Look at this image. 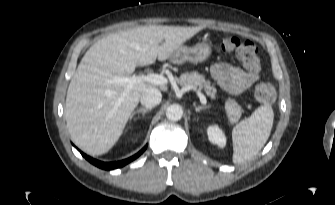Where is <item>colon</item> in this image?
Returning <instances> with one entry per match:
<instances>
[{"instance_id": "colon-1", "label": "colon", "mask_w": 335, "mask_h": 205, "mask_svg": "<svg viewBox=\"0 0 335 205\" xmlns=\"http://www.w3.org/2000/svg\"><path fill=\"white\" fill-rule=\"evenodd\" d=\"M220 49L225 53H235L249 71H257L260 67L258 49L249 41L228 37L220 42ZM254 95L259 102L270 103L275 98V88L270 82L264 81L256 86Z\"/></svg>"}]
</instances>
